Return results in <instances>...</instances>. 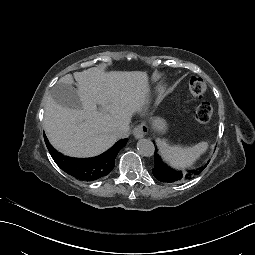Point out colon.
<instances>
[{
	"instance_id": "5ec220e1",
	"label": "colon",
	"mask_w": 255,
	"mask_h": 255,
	"mask_svg": "<svg viewBox=\"0 0 255 255\" xmlns=\"http://www.w3.org/2000/svg\"><path fill=\"white\" fill-rule=\"evenodd\" d=\"M206 91V83L202 78L192 77L189 82V93L192 97H200ZM213 114V107L209 102L199 104L195 110V119L199 123H207Z\"/></svg>"
}]
</instances>
